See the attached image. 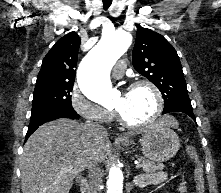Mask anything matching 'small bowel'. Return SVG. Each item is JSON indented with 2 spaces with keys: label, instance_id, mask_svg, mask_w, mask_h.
I'll return each instance as SVG.
<instances>
[{
  "label": "small bowel",
  "instance_id": "1",
  "mask_svg": "<svg viewBox=\"0 0 221 193\" xmlns=\"http://www.w3.org/2000/svg\"><path fill=\"white\" fill-rule=\"evenodd\" d=\"M166 180H167V174L165 172H157L148 176L138 177L136 179V184L142 187L146 185H156L164 183ZM178 190L180 193H186L187 191L186 182L184 181L180 182Z\"/></svg>",
  "mask_w": 221,
  "mask_h": 193
}]
</instances>
